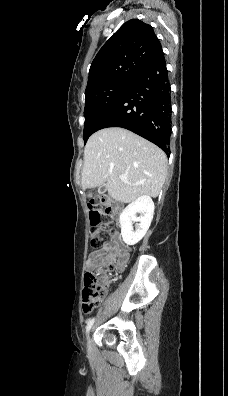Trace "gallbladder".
Listing matches in <instances>:
<instances>
[{"instance_id": "gallbladder-1", "label": "gallbladder", "mask_w": 228, "mask_h": 396, "mask_svg": "<svg viewBox=\"0 0 228 396\" xmlns=\"http://www.w3.org/2000/svg\"><path fill=\"white\" fill-rule=\"evenodd\" d=\"M104 190V185H100L99 187H98V192H102Z\"/></svg>"}]
</instances>
